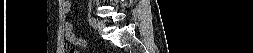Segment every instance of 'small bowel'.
Wrapping results in <instances>:
<instances>
[{
	"label": "small bowel",
	"mask_w": 253,
	"mask_h": 53,
	"mask_svg": "<svg viewBox=\"0 0 253 53\" xmlns=\"http://www.w3.org/2000/svg\"><path fill=\"white\" fill-rule=\"evenodd\" d=\"M66 40L74 45H82L84 42L80 40L73 32L72 25L70 23L65 24Z\"/></svg>",
	"instance_id": "small-bowel-1"
}]
</instances>
